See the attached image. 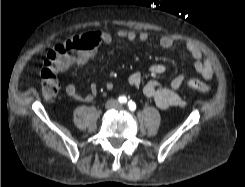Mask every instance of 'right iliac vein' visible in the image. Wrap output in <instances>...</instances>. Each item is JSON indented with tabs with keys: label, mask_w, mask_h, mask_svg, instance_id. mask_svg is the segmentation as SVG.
Instances as JSON below:
<instances>
[{
	"label": "right iliac vein",
	"mask_w": 245,
	"mask_h": 187,
	"mask_svg": "<svg viewBox=\"0 0 245 187\" xmlns=\"http://www.w3.org/2000/svg\"><path fill=\"white\" fill-rule=\"evenodd\" d=\"M116 106H117V102L114 100H109L105 104L106 109H113V108H116Z\"/></svg>",
	"instance_id": "right-iliac-vein-1"
}]
</instances>
